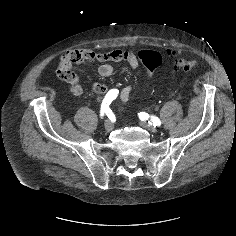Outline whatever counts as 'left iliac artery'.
Masks as SVG:
<instances>
[{"label":"left iliac artery","mask_w":236,"mask_h":236,"mask_svg":"<svg viewBox=\"0 0 236 236\" xmlns=\"http://www.w3.org/2000/svg\"><path fill=\"white\" fill-rule=\"evenodd\" d=\"M139 117H140V119L144 120L146 117H148V114L141 112V113H139ZM151 120H152L151 124H153V126H160L161 125V121L158 117L152 116Z\"/></svg>","instance_id":"1"}]
</instances>
